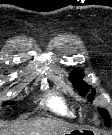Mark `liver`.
<instances>
[{
  "label": "liver",
  "mask_w": 112,
  "mask_h": 135,
  "mask_svg": "<svg viewBox=\"0 0 112 135\" xmlns=\"http://www.w3.org/2000/svg\"><path fill=\"white\" fill-rule=\"evenodd\" d=\"M71 128L54 120L37 119L20 124L16 135H64Z\"/></svg>",
  "instance_id": "6515ba94"
}]
</instances>
